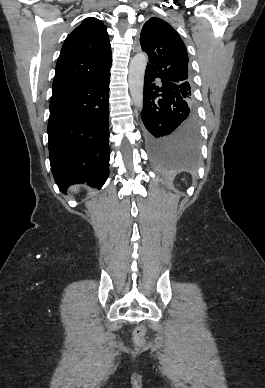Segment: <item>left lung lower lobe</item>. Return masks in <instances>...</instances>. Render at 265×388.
Wrapping results in <instances>:
<instances>
[{
    "instance_id": "obj_1",
    "label": "left lung lower lobe",
    "mask_w": 265,
    "mask_h": 388,
    "mask_svg": "<svg viewBox=\"0 0 265 388\" xmlns=\"http://www.w3.org/2000/svg\"><path fill=\"white\" fill-rule=\"evenodd\" d=\"M148 71L144 77L141 117L153 164L161 170H194L199 159V127L194 107L184 101L179 85Z\"/></svg>"
}]
</instances>
